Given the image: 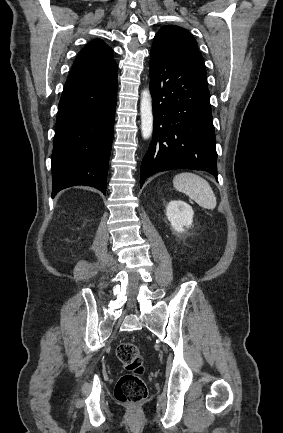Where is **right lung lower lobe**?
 Here are the masks:
<instances>
[{
  "mask_svg": "<svg viewBox=\"0 0 283 433\" xmlns=\"http://www.w3.org/2000/svg\"><path fill=\"white\" fill-rule=\"evenodd\" d=\"M117 95V76L64 90L58 107L52 152V197L86 185L106 193Z\"/></svg>",
  "mask_w": 283,
  "mask_h": 433,
  "instance_id": "98d812e1",
  "label": "right lung lower lobe"
}]
</instances>
